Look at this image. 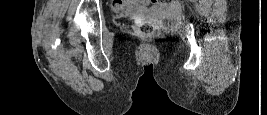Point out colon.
Listing matches in <instances>:
<instances>
[{"label": "colon", "instance_id": "colon-1", "mask_svg": "<svg viewBox=\"0 0 267 115\" xmlns=\"http://www.w3.org/2000/svg\"><path fill=\"white\" fill-rule=\"evenodd\" d=\"M153 3L167 4L171 0H151ZM135 33L143 39H151L159 35V28L151 23H143L135 29Z\"/></svg>", "mask_w": 267, "mask_h": 115}]
</instances>
